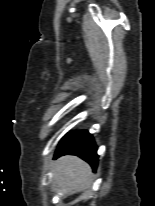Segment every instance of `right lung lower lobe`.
<instances>
[{"instance_id": "right-lung-lower-lobe-1", "label": "right lung lower lobe", "mask_w": 155, "mask_h": 206, "mask_svg": "<svg viewBox=\"0 0 155 206\" xmlns=\"http://www.w3.org/2000/svg\"><path fill=\"white\" fill-rule=\"evenodd\" d=\"M66 154L77 155L87 161L94 169L97 167V147L88 131L70 133L60 141L55 158Z\"/></svg>"}]
</instances>
